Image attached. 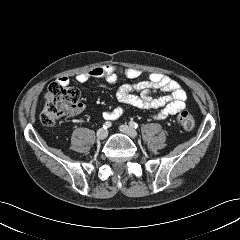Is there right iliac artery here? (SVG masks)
Segmentation results:
<instances>
[{"label": "right iliac artery", "instance_id": "right-iliac-artery-1", "mask_svg": "<svg viewBox=\"0 0 240 240\" xmlns=\"http://www.w3.org/2000/svg\"><path fill=\"white\" fill-rule=\"evenodd\" d=\"M111 125H112V123L109 122V121H107V122H105V123L103 124V128H104V129H107V128H109Z\"/></svg>", "mask_w": 240, "mask_h": 240}]
</instances>
